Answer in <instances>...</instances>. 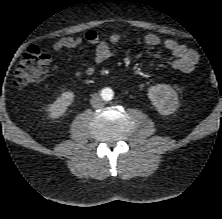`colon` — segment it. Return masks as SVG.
Segmentation results:
<instances>
[{"label":"colon","instance_id":"5ec220e1","mask_svg":"<svg viewBox=\"0 0 222 219\" xmlns=\"http://www.w3.org/2000/svg\"><path fill=\"white\" fill-rule=\"evenodd\" d=\"M50 56L36 47L28 48L21 56L13 75V83L22 88L32 83L42 81L48 74ZM212 84L216 82V76L209 74Z\"/></svg>","mask_w":222,"mask_h":219}]
</instances>
